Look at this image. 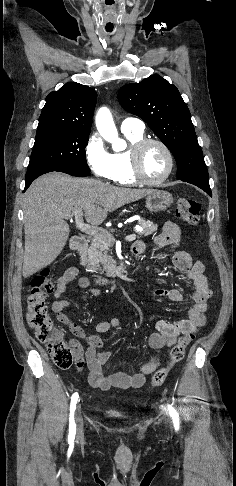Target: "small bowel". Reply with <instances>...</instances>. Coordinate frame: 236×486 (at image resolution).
<instances>
[{"instance_id": "c3829d8e", "label": "small bowel", "mask_w": 236, "mask_h": 486, "mask_svg": "<svg viewBox=\"0 0 236 486\" xmlns=\"http://www.w3.org/2000/svg\"><path fill=\"white\" fill-rule=\"evenodd\" d=\"M180 240L181 231L179 226L174 222H167L163 226L161 233L154 238L153 243L157 247H165L178 245ZM145 248L146 244L138 241L134 244L133 251L136 254H140L144 252ZM164 261L165 259H161V263ZM171 261L178 270L185 272L188 278L193 281L194 292L191 295L193 306L187 311V316L184 319L176 321L160 320L157 322L156 332L152 333L148 340L149 346L154 350L171 347L180 335L194 333L205 320L207 303L212 296V290L204 274V264L201 261H194L189 253L182 250L177 251ZM78 276V269L69 267L58 278L54 293L55 300L51 305L57 321L67 326L77 338L83 340L87 345L86 348H83L79 341L74 339L70 341L77 369L82 370L84 365H86L89 370V384L93 388L103 391L142 387L146 377L160 366V360L156 356L150 357L132 374L124 372L104 374L103 372V366L111 358V352L104 349V344L99 334L106 333L118 327L121 322L119 318L99 322L95 326L96 333L88 334L64 312L65 308L69 307L71 303L68 300L62 299V296L67 291L69 284ZM79 285L81 288L87 289L89 286L87 278L81 277L79 279ZM93 294L99 295L100 291L93 290ZM152 295L155 297H165L174 302L184 300L183 293L179 289L155 288L152 291ZM83 299H86L85 295Z\"/></svg>"}]
</instances>
